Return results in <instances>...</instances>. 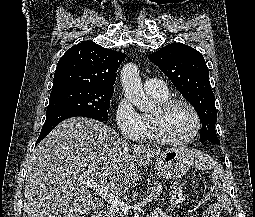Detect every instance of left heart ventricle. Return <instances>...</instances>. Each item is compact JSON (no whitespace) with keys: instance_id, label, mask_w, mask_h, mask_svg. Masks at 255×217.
Listing matches in <instances>:
<instances>
[{"instance_id":"left-heart-ventricle-1","label":"left heart ventricle","mask_w":255,"mask_h":217,"mask_svg":"<svg viewBox=\"0 0 255 217\" xmlns=\"http://www.w3.org/2000/svg\"><path fill=\"white\" fill-rule=\"evenodd\" d=\"M195 127L194 115L183 104L173 105L164 115L163 128L170 138L185 139L193 133Z\"/></svg>"}]
</instances>
